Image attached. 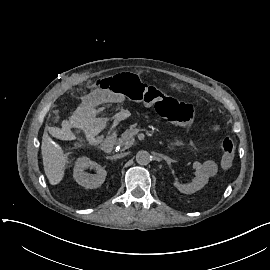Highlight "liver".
Returning <instances> with one entry per match:
<instances>
[{
  "label": "liver",
  "instance_id": "6515ba94",
  "mask_svg": "<svg viewBox=\"0 0 270 270\" xmlns=\"http://www.w3.org/2000/svg\"><path fill=\"white\" fill-rule=\"evenodd\" d=\"M41 154L45 175L52 186L58 185L65 177L68 155L60 145L52 143L47 131L42 136Z\"/></svg>",
  "mask_w": 270,
  "mask_h": 270
}]
</instances>
